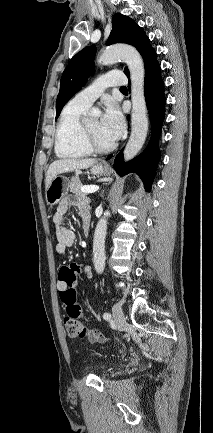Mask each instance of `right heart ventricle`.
I'll list each match as a JSON object with an SVG mask.
<instances>
[{"mask_svg": "<svg viewBox=\"0 0 213 433\" xmlns=\"http://www.w3.org/2000/svg\"><path fill=\"white\" fill-rule=\"evenodd\" d=\"M86 108L69 102L63 109L56 133L55 152L61 158H82L92 152L82 138L81 116Z\"/></svg>", "mask_w": 213, "mask_h": 433, "instance_id": "1", "label": "right heart ventricle"}]
</instances>
